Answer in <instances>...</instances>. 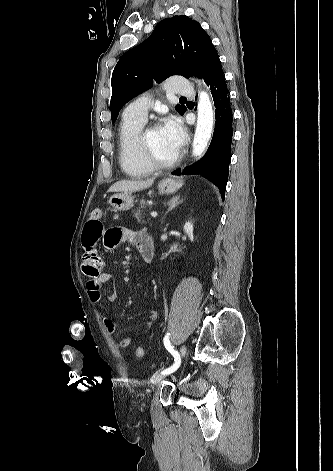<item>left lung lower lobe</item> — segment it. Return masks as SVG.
Returning <instances> with one entry per match:
<instances>
[{
	"label": "left lung lower lobe",
	"instance_id": "0a47b994",
	"mask_svg": "<svg viewBox=\"0 0 333 471\" xmlns=\"http://www.w3.org/2000/svg\"><path fill=\"white\" fill-rule=\"evenodd\" d=\"M200 78L210 86L215 105V128L206 154L196 163L174 171V175L200 174L212 180L225 198L231 161V143L233 136V115L229 92L222 71L217 51L207 61Z\"/></svg>",
	"mask_w": 333,
	"mask_h": 471
}]
</instances>
